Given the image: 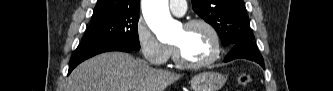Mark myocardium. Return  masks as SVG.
<instances>
[{"label": "myocardium", "instance_id": "myocardium-1", "mask_svg": "<svg viewBox=\"0 0 333 91\" xmlns=\"http://www.w3.org/2000/svg\"><path fill=\"white\" fill-rule=\"evenodd\" d=\"M197 26L204 27L211 34L213 41H214L213 55L204 61L191 62L184 58V56L178 46L173 45L174 61L180 67L187 68V69L205 68V67H208V66L212 65L213 63H215L221 56V53H222L221 37H220V34L217 31V29L211 23H209L208 21L203 20V19H192V20L185 22L183 27L185 29H191V28H194Z\"/></svg>", "mask_w": 333, "mask_h": 91}]
</instances>
